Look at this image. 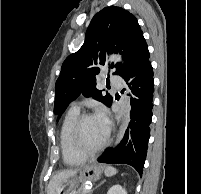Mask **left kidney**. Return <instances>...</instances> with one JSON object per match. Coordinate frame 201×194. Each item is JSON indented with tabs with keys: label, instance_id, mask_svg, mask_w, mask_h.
<instances>
[{
	"label": "left kidney",
	"instance_id": "obj_1",
	"mask_svg": "<svg viewBox=\"0 0 201 194\" xmlns=\"http://www.w3.org/2000/svg\"><path fill=\"white\" fill-rule=\"evenodd\" d=\"M107 194H127V192L121 185H114L108 190Z\"/></svg>",
	"mask_w": 201,
	"mask_h": 194
}]
</instances>
